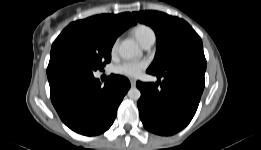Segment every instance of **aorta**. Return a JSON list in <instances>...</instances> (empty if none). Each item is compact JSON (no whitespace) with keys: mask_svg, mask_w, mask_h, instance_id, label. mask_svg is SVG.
I'll use <instances>...</instances> for the list:
<instances>
[{"mask_svg":"<svg viewBox=\"0 0 261 150\" xmlns=\"http://www.w3.org/2000/svg\"><path fill=\"white\" fill-rule=\"evenodd\" d=\"M119 55L124 59H132L141 55V50L139 46L133 40H124L121 42L118 48ZM131 100L137 101L141 92L136 87H131L127 93Z\"/></svg>","mask_w":261,"mask_h":150,"instance_id":"aorta-1","label":"aorta"}]
</instances>
